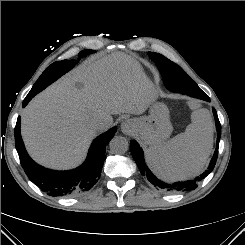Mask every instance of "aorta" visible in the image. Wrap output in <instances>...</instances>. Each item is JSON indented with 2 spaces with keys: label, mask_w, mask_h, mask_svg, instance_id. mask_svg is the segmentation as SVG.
<instances>
[{
  "label": "aorta",
  "mask_w": 245,
  "mask_h": 245,
  "mask_svg": "<svg viewBox=\"0 0 245 245\" xmlns=\"http://www.w3.org/2000/svg\"><path fill=\"white\" fill-rule=\"evenodd\" d=\"M110 150L114 154H124L129 147L128 140L122 136H115L109 144Z\"/></svg>",
  "instance_id": "aorta-1"
}]
</instances>
